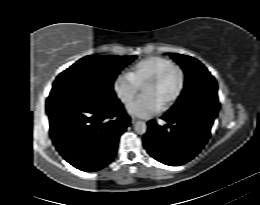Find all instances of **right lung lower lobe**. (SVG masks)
<instances>
[{"label":"right lung lower lobe","mask_w":260,"mask_h":205,"mask_svg":"<svg viewBox=\"0 0 260 205\" xmlns=\"http://www.w3.org/2000/svg\"><path fill=\"white\" fill-rule=\"evenodd\" d=\"M49 133L72 166L95 172L114 158L121 134L130 124L119 100L103 102L70 89H55L46 101Z\"/></svg>","instance_id":"right-lung-lower-lobe-1"}]
</instances>
